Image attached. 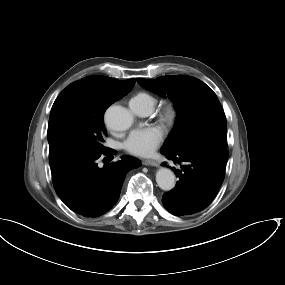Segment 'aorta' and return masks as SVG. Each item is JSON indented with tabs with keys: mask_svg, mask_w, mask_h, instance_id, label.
I'll list each match as a JSON object with an SVG mask.
<instances>
[{
	"mask_svg": "<svg viewBox=\"0 0 285 285\" xmlns=\"http://www.w3.org/2000/svg\"><path fill=\"white\" fill-rule=\"evenodd\" d=\"M105 122L107 126L115 131H125L133 123V115L126 108L113 105L105 113ZM156 182L164 191H170L175 187V175L168 168H160L156 173Z\"/></svg>",
	"mask_w": 285,
	"mask_h": 285,
	"instance_id": "obj_1",
	"label": "aorta"
}]
</instances>
